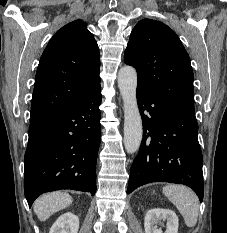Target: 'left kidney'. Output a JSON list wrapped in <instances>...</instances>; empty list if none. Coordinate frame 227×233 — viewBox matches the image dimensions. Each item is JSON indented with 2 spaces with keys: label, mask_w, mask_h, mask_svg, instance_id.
<instances>
[{
  "label": "left kidney",
  "mask_w": 227,
  "mask_h": 233,
  "mask_svg": "<svg viewBox=\"0 0 227 233\" xmlns=\"http://www.w3.org/2000/svg\"><path fill=\"white\" fill-rule=\"evenodd\" d=\"M161 220L166 221V231L164 233H178V217L172 210L154 208L146 213L144 220L145 233H163L157 228Z\"/></svg>",
  "instance_id": "left-kidney-1"
}]
</instances>
